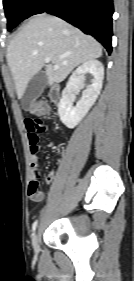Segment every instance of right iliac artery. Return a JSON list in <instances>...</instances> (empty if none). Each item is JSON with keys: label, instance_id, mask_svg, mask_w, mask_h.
Here are the masks:
<instances>
[{"label": "right iliac artery", "instance_id": "1", "mask_svg": "<svg viewBox=\"0 0 134 281\" xmlns=\"http://www.w3.org/2000/svg\"><path fill=\"white\" fill-rule=\"evenodd\" d=\"M36 227H37V220H36V221L33 223V225H32V231H33V233L35 232Z\"/></svg>", "mask_w": 134, "mask_h": 281}]
</instances>
